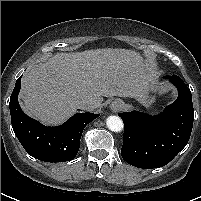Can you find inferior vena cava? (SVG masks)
<instances>
[{
	"label": "inferior vena cava",
	"mask_w": 201,
	"mask_h": 201,
	"mask_svg": "<svg viewBox=\"0 0 201 201\" xmlns=\"http://www.w3.org/2000/svg\"><path fill=\"white\" fill-rule=\"evenodd\" d=\"M98 105H99L98 102L91 99H81L76 101L77 108L82 110H93Z\"/></svg>",
	"instance_id": "602c4592"
}]
</instances>
